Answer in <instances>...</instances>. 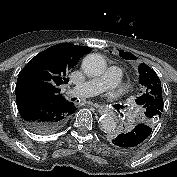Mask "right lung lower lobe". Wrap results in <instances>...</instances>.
Wrapping results in <instances>:
<instances>
[{"label": "right lung lower lobe", "instance_id": "obj_1", "mask_svg": "<svg viewBox=\"0 0 177 177\" xmlns=\"http://www.w3.org/2000/svg\"><path fill=\"white\" fill-rule=\"evenodd\" d=\"M17 106L27 127L38 134L59 130L76 111L73 103L46 97L18 95Z\"/></svg>", "mask_w": 177, "mask_h": 177}]
</instances>
